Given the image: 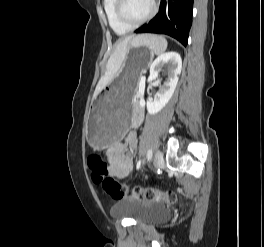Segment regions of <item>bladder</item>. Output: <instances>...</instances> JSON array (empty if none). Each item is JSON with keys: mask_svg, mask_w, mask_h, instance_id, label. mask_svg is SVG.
Returning <instances> with one entry per match:
<instances>
[{"mask_svg": "<svg viewBox=\"0 0 264 247\" xmlns=\"http://www.w3.org/2000/svg\"><path fill=\"white\" fill-rule=\"evenodd\" d=\"M111 215L117 218H131L141 223L162 221L166 210L155 202H143L120 198L111 208Z\"/></svg>", "mask_w": 264, "mask_h": 247, "instance_id": "obj_1", "label": "bladder"}]
</instances>
